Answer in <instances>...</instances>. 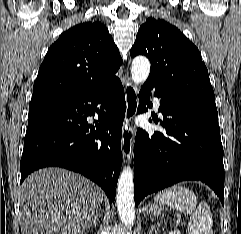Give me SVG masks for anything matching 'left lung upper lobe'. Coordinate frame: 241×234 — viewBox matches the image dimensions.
Instances as JSON below:
<instances>
[{
  "instance_id": "left-lung-upper-lobe-1",
  "label": "left lung upper lobe",
  "mask_w": 241,
  "mask_h": 234,
  "mask_svg": "<svg viewBox=\"0 0 241 234\" xmlns=\"http://www.w3.org/2000/svg\"><path fill=\"white\" fill-rule=\"evenodd\" d=\"M151 62L148 80L166 92L216 108L208 70L197 47L165 20L148 18L130 51Z\"/></svg>"
}]
</instances>
